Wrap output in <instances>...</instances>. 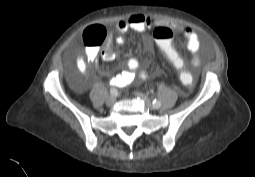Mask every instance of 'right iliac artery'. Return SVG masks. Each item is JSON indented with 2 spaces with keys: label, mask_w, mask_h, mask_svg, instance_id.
I'll return each instance as SVG.
<instances>
[{
  "label": "right iliac artery",
  "mask_w": 255,
  "mask_h": 177,
  "mask_svg": "<svg viewBox=\"0 0 255 177\" xmlns=\"http://www.w3.org/2000/svg\"><path fill=\"white\" fill-rule=\"evenodd\" d=\"M110 94L112 95V96H117L118 95V90L116 89V88H111L110 89Z\"/></svg>",
  "instance_id": "obj_1"
}]
</instances>
